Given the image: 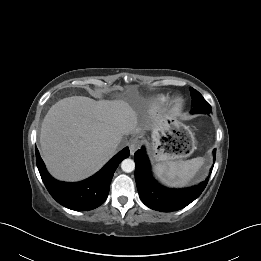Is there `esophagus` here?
I'll return each mask as SVG.
<instances>
[{
    "label": "esophagus",
    "instance_id": "1",
    "mask_svg": "<svg viewBox=\"0 0 261 261\" xmlns=\"http://www.w3.org/2000/svg\"><path fill=\"white\" fill-rule=\"evenodd\" d=\"M141 146V141L138 138H134L129 145L131 154L133 155L137 149Z\"/></svg>",
    "mask_w": 261,
    "mask_h": 261
}]
</instances>
